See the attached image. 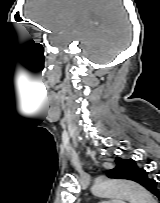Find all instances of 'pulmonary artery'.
Listing matches in <instances>:
<instances>
[{
  "label": "pulmonary artery",
  "instance_id": "obj_1",
  "mask_svg": "<svg viewBox=\"0 0 160 203\" xmlns=\"http://www.w3.org/2000/svg\"><path fill=\"white\" fill-rule=\"evenodd\" d=\"M102 203H125L124 200H112L111 202H102Z\"/></svg>",
  "mask_w": 160,
  "mask_h": 203
}]
</instances>
